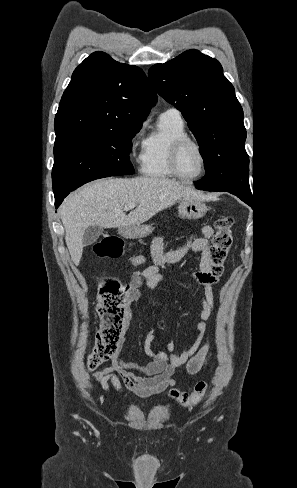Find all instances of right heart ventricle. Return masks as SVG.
Listing matches in <instances>:
<instances>
[{
    "label": "right heart ventricle",
    "instance_id": "1",
    "mask_svg": "<svg viewBox=\"0 0 297 488\" xmlns=\"http://www.w3.org/2000/svg\"><path fill=\"white\" fill-rule=\"evenodd\" d=\"M186 135L185 123L180 116L162 114L155 129L143 142L140 171L157 179L174 177L168 164L170 147L176 139Z\"/></svg>",
    "mask_w": 297,
    "mask_h": 488
}]
</instances>
